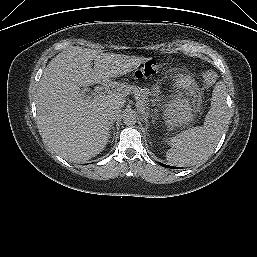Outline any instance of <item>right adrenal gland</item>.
I'll list each match as a JSON object with an SVG mask.
<instances>
[{"label": "right adrenal gland", "mask_w": 257, "mask_h": 257, "mask_svg": "<svg viewBox=\"0 0 257 257\" xmlns=\"http://www.w3.org/2000/svg\"><path fill=\"white\" fill-rule=\"evenodd\" d=\"M111 134H113V139H112V143H113L114 138H115L114 122H112V123L110 124V136H111Z\"/></svg>", "instance_id": "right-adrenal-gland-1"}]
</instances>
